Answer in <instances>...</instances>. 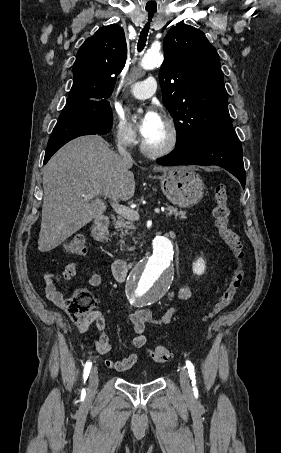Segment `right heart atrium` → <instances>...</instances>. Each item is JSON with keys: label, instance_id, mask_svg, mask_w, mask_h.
Masks as SVG:
<instances>
[{"label": "right heart atrium", "instance_id": "d8ad5b80", "mask_svg": "<svg viewBox=\"0 0 281 453\" xmlns=\"http://www.w3.org/2000/svg\"><path fill=\"white\" fill-rule=\"evenodd\" d=\"M108 123L119 145L125 148L134 146L137 140L136 127L122 113L111 115ZM108 168L115 174L126 175L128 173L125 164L116 156L110 157Z\"/></svg>", "mask_w": 281, "mask_h": 453}]
</instances>
